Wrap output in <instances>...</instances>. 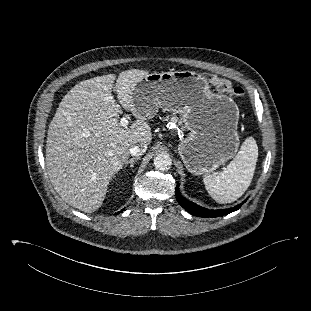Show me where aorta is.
Listing matches in <instances>:
<instances>
[{
    "label": "aorta",
    "mask_w": 311,
    "mask_h": 311,
    "mask_svg": "<svg viewBox=\"0 0 311 311\" xmlns=\"http://www.w3.org/2000/svg\"><path fill=\"white\" fill-rule=\"evenodd\" d=\"M172 165V160L168 154L161 153L154 157V166L160 171L168 170Z\"/></svg>",
    "instance_id": "762f6f07"
}]
</instances>
